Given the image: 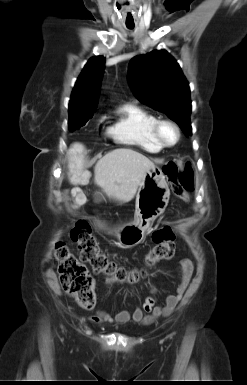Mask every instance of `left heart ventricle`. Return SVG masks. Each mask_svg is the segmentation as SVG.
Here are the masks:
<instances>
[{"instance_id": "obj_1", "label": "left heart ventricle", "mask_w": 247, "mask_h": 385, "mask_svg": "<svg viewBox=\"0 0 247 385\" xmlns=\"http://www.w3.org/2000/svg\"><path fill=\"white\" fill-rule=\"evenodd\" d=\"M162 138L165 142L172 143L176 139V133L171 127L164 126L162 129Z\"/></svg>"}]
</instances>
